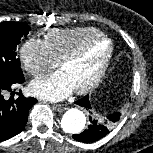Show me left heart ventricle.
Listing matches in <instances>:
<instances>
[{"label": "left heart ventricle", "mask_w": 153, "mask_h": 153, "mask_svg": "<svg viewBox=\"0 0 153 153\" xmlns=\"http://www.w3.org/2000/svg\"><path fill=\"white\" fill-rule=\"evenodd\" d=\"M107 50V42H97L80 59L65 65L61 69L72 83L74 89L83 86L93 77Z\"/></svg>", "instance_id": "b2bd125f"}]
</instances>
